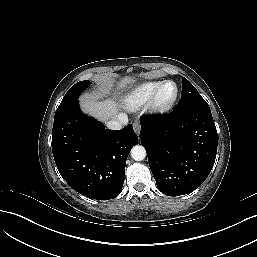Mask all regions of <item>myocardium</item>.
I'll list each match as a JSON object with an SVG mask.
<instances>
[{
	"mask_svg": "<svg viewBox=\"0 0 257 257\" xmlns=\"http://www.w3.org/2000/svg\"><path fill=\"white\" fill-rule=\"evenodd\" d=\"M168 84H172L174 86L175 94L171 100H169L166 103H163L161 101V96H162V93H163L165 87ZM178 99H179V88H178L177 84L173 81H165L159 87V89L154 93V95L149 99V101H148L149 111L151 113L157 114V115L167 114L175 108V106L177 105Z\"/></svg>",
	"mask_w": 257,
	"mask_h": 257,
	"instance_id": "obj_1",
	"label": "myocardium"
}]
</instances>
